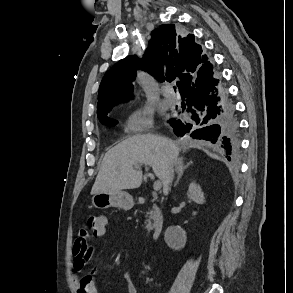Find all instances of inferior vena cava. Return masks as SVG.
<instances>
[{"label":"inferior vena cava","instance_id":"1","mask_svg":"<svg viewBox=\"0 0 293 293\" xmlns=\"http://www.w3.org/2000/svg\"><path fill=\"white\" fill-rule=\"evenodd\" d=\"M173 176H174V169H173V166H171L169 168V171H168V174H167V177H166V181H165V186L167 187L168 190H170V186H171V183H172V180H173Z\"/></svg>","mask_w":293,"mask_h":293}]
</instances>
